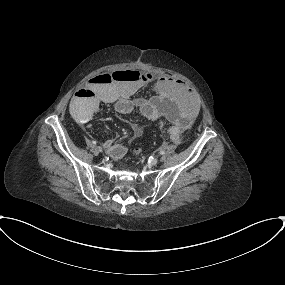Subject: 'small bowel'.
<instances>
[{"mask_svg": "<svg viewBox=\"0 0 285 285\" xmlns=\"http://www.w3.org/2000/svg\"><path fill=\"white\" fill-rule=\"evenodd\" d=\"M126 71L116 70L99 74L92 78L87 86L77 90L69 103L72 116L93 133L89 121L101 103L112 105L121 115L138 110L142 116L153 121L162 118L169 120L172 126L168 129V134L173 142L180 143L183 131L192 125L199 112L192 92L183 81L168 76L155 78L150 73H140V79L136 82L116 78L117 73ZM104 76L111 81L105 82ZM149 83H153L155 94L149 98L134 99V94ZM133 129L131 139L135 140L141 132L136 125ZM103 146L115 159L122 158L127 151L126 146L116 144L111 139H105Z\"/></svg>", "mask_w": 285, "mask_h": 285, "instance_id": "c3829d8e", "label": "small bowel"}]
</instances>
